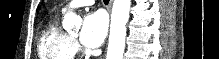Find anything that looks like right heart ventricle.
I'll use <instances>...</instances> for the list:
<instances>
[{"instance_id":"e07e8e85","label":"right heart ventricle","mask_w":219,"mask_h":59,"mask_svg":"<svg viewBox=\"0 0 219 59\" xmlns=\"http://www.w3.org/2000/svg\"><path fill=\"white\" fill-rule=\"evenodd\" d=\"M40 59H73L75 48L69 35L58 25V17L51 19L42 31L37 47Z\"/></svg>"}]
</instances>
